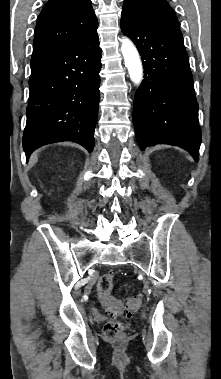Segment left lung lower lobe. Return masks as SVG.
Listing matches in <instances>:
<instances>
[{
    "instance_id": "obj_1",
    "label": "left lung lower lobe",
    "mask_w": 221,
    "mask_h": 379,
    "mask_svg": "<svg viewBox=\"0 0 221 379\" xmlns=\"http://www.w3.org/2000/svg\"><path fill=\"white\" fill-rule=\"evenodd\" d=\"M121 30L135 43L144 68L133 107L140 149L155 144L176 145L198 161V103L180 29L153 23L134 6L124 4Z\"/></svg>"
}]
</instances>
